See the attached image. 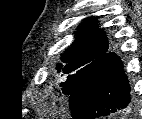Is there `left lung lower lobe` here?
I'll return each mask as SVG.
<instances>
[{"mask_svg":"<svg viewBox=\"0 0 142 119\" xmlns=\"http://www.w3.org/2000/svg\"><path fill=\"white\" fill-rule=\"evenodd\" d=\"M130 89L121 60L114 53H108L71 92L72 116L97 119L119 111L131 114Z\"/></svg>","mask_w":142,"mask_h":119,"instance_id":"left-lung-lower-lobe-1","label":"left lung lower lobe"}]
</instances>
